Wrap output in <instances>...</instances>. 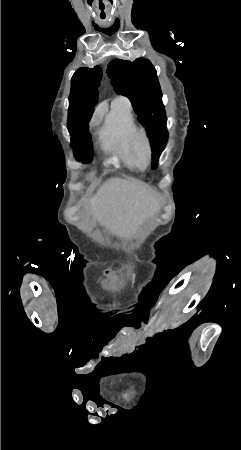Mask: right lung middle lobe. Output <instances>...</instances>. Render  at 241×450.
Segmentation results:
<instances>
[{
  "mask_svg": "<svg viewBox=\"0 0 241 450\" xmlns=\"http://www.w3.org/2000/svg\"><path fill=\"white\" fill-rule=\"evenodd\" d=\"M100 80L101 77L86 72L73 75L68 109V129L70 134H72L74 126L82 114L93 112V108L98 101L99 92L97 87L100 85ZM74 154L77 160L89 163L93 156L91 144L85 149L76 151Z\"/></svg>",
  "mask_w": 241,
  "mask_h": 450,
  "instance_id": "1",
  "label": "right lung middle lobe"
}]
</instances>
